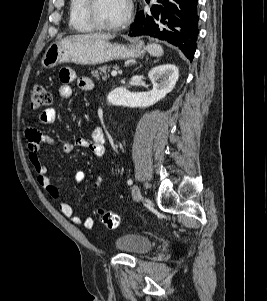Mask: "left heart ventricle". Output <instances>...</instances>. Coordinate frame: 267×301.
Here are the masks:
<instances>
[{"mask_svg":"<svg viewBox=\"0 0 267 301\" xmlns=\"http://www.w3.org/2000/svg\"><path fill=\"white\" fill-rule=\"evenodd\" d=\"M125 0H99L97 15L105 24H115L125 15Z\"/></svg>","mask_w":267,"mask_h":301,"instance_id":"1","label":"left heart ventricle"}]
</instances>
